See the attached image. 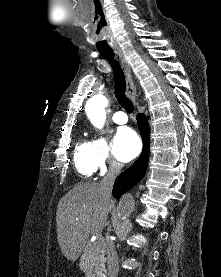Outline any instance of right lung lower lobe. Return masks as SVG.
<instances>
[{
    "mask_svg": "<svg viewBox=\"0 0 221 277\" xmlns=\"http://www.w3.org/2000/svg\"><path fill=\"white\" fill-rule=\"evenodd\" d=\"M138 127L143 140V150L137 161L115 180L113 196L120 198L126 191L139 182L145 175L150 148L149 124L144 114L137 115Z\"/></svg>",
    "mask_w": 221,
    "mask_h": 277,
    "instance_id": "right-lung-lower-lobe-1",
    "label": "right lung lower lobe"
}]
</instances>
